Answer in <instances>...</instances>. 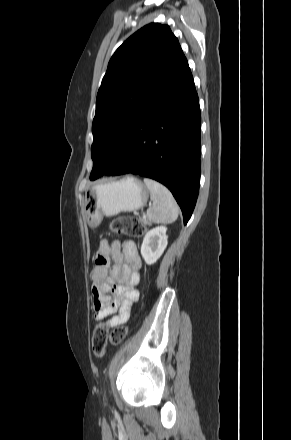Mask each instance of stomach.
<instances>
[{"label": "stomach", "instance_id": "obj_1", "mask_svg": "<svg viewBox=\"0 0 291 440\" xmlns=\"http://www.w3.org/2000/svg\"><path fill=\"white\" fill-rule=\"evenodd\" d=\"M148 196L146 186L133 176L96 184L85 192L83 208L86 220L94 227L101 222L103 215L136 211L146 204Z\"/></svg>", "mask_w": 291, "mask_h": 440}]
</instances>
